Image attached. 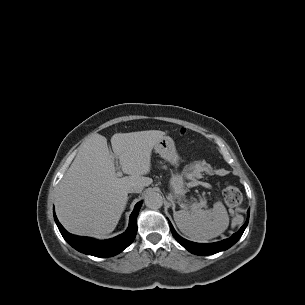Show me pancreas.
<instances>
[{
	"label": "pancreas",
	"instance_id": "1",
	"mask_svg": "<svg viewBox=\"0 0 305 305\" xmlns=\"http://www.w3.org/2000/svg\"><path fill=\"white\" fill-rule=\"evenodd\" d=\"M163 168H165V169H166L167 167L164 165V166H163Z\"/></svg>",
	"mask_w": 305,
	"mask_h": 305
}]
</instances>
